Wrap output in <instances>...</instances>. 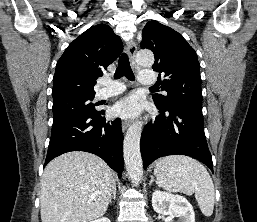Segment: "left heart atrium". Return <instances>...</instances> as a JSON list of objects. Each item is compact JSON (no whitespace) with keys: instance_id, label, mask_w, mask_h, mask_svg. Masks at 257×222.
<instances>
[{"instance_id":"39dd6f15","label":"left heart atrium","mask_w":257,"mask_h":222,"mask_svg":"<svg viewBox=\"0 0 257 222\" xmlns=\"http://www.w3.org/2000/svg\"><path fill=\"white\" fill-rule=\"evenodd\" d=\"M141 107L140 99L136 95H129L117 102L113 113L119 118L132 119L140 113Z\"/></svg>"}]
</instances>
